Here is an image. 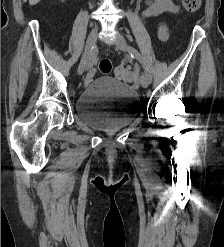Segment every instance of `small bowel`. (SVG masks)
<instances>
[{
    "mask_svg": "<svg viewBox=\"0 0 224 247\" xmlns=\"http://www.w3.org/2000/svg\"><path fill=\"white\" fill-rule=\"evenodd\" d=\"M179 11V6L172 0H146V7L142 12L144 18L156 17L163 13L175 14ZM159 38L167 40L169 33L165 24H161L158 29Z\"/></svg>",
    "mask_w": 224,
    "mask_h": 247,
    "instance_id": "c3829d8e",
    "label": "small bowel"
}]
</instances>
